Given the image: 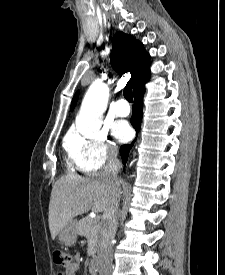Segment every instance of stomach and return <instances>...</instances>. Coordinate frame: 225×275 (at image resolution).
I'll use <instances>...</instances> for the list:
<instances>
[{
	"mask_svg": "<svg viewBox=\"0 0 225 275\" xmlns=\"http://www.w3.org/2000/svg\"><path fill=\"white\" fill-rule=\"evenodd\" d=\"M58 238L60 242L66 246L75 244L77 240V230L75 222L67 224L59 233Z\"/></svg>",
	"mask_w": 225,
	"mask_h": 275,
	"instance_id": "0dacf381",
	"label": "stomach"
}]
</instances>
